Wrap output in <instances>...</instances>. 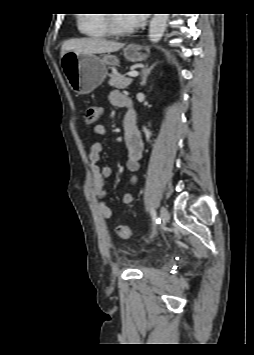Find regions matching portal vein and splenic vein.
Returning <instances> with one entry per match:
<instances>
[{
	"label": "portal vein and splenic vein",
	"mask_w": 254,
	"mask_h": 355,
	"mask_svg": "<svg viewBox=\"0 0 254 355\" xmlns=\"http://www.w3.org/2000/svg\"><path fill=\"white\" fill-rule=\"evenodd\" d=\"M127 75L129 77H137L139 75V73L137 71H133V72H129Z\"/></svg>",
	"instance_id": "obj_1"
}]
</instances>
